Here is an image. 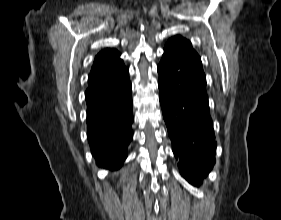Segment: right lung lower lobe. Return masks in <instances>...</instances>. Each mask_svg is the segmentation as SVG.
I'll list each match as a JSON object with an SVG mask.
<instances>
[{
  "instance_id": "1",
  "label": "right lung lower lobe",
  "mask_w": 281,
  "mask_h": 220,
  "mask_svg": "<svg viewBox=\"0 0 281 220\" xmlns=\"http://www.w3.org/2000/svg\"><path fill=\"white\" fill-rule=\"evenodd\" d=\"M87 136L98 167L117 170L133 137L131 83L85 93Z\"/></svg>"
}]
</instances>
